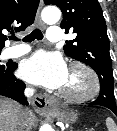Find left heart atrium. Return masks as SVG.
Wrapping results in <instances>:
<instances>
[{"instance_id": "39dd6f15", "label": "left heart atrium", "mask_w": 117, "mask_h": 131, "mask_svg": "<svg viewBox=\"0 0 117 131\" xmlns=\"http://www.w3.org/2000/svg\"><path fill=\"white\" fill-rule=\"evenodd\" d=\"M20 74L30 83L56 89L64 85L68 69L61 55L38 51L22 62Z\"/></svg>"}]
</instances>
